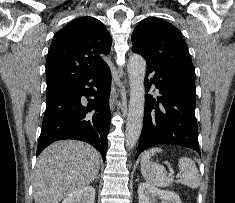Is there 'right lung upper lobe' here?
<instances>
[{
    "label": "right lung upper lobe",
    "mask_w": 235,
    "mask_h": 203,
    "mask_svg": "<svg viewBox=\"0 0 235 203\" xmlns=\"http://www.w3.org/2000/svg\"><path fill=\"white\" fill-rule=\"evenodd\" d=\"M112 38L103 23L80 17L63 27L54 37L46 60L47 87L68 85L107 63Z\"/></svg>",
    "instance_id": "obj_1"
}]
</instances>
